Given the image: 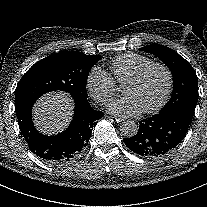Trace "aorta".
Wrapping results in <instances>:
<instances>
[{
	"instance_id": "762f6f07",
	"label": "aorta",
	"mask_w": 207,
	"mask_h": 207,
	"mask_svg": "<svg viewBox=\"0 0 207 207\" xmlns=\"http://www.w3.org/2000/svg\"><path fill=\"white\" fill-rule=\"evenodd\" d=\"M138 125L133 120H125L120 124V131L126 137H133L138 132Z\"/></svg>"
}]
</instances>
